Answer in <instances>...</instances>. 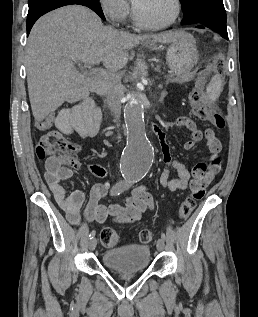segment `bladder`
<instances>
[{"label": "bladder", "mask_w": 258, "mask_h": 317, "mask_svg": "<svg viewBox=\"0 0 258 317\" xmlns=\"http://www.w3.org/2000/svg\"><path fill=\"white\" fill-rule=\"evenodd\" d=\"M103 263L117 271H142L150 262V248L146 244H130L107 250L102 256Z\"/></svg>", "instance_id": "31cf9c89"}]
</instances>
